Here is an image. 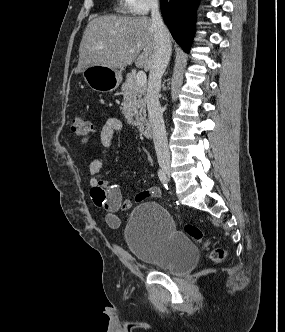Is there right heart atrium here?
I'll use <instances>...</instances> for the list:
<instances>
[{
    "mask_svg": "<svg viewBox=\"0 0 285 332\" xmlns=\"http://www.w3.org/2000/svg\"><path fill=\"white\" fill-rule=\"evenodd\" d=\"M126 9L136 15H144L155 8L159 0H124Z\"/></svg>",
    "mask_w": 285,
    "mask_h": 332,
    "instance_id": "right-heart-atrium-1",
    "label": "right heart atrium"
}]
</instances>
